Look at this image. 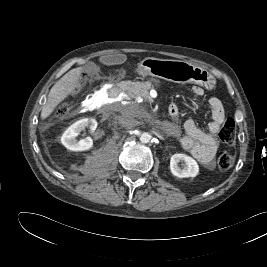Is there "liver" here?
Instances as JSON below:
<instances>
[{"label":"liver","instance_id":"6515ba94","mask_svg":"<svg viewBox=\"0 0 267 267\" xmlns=\"http://www.w3.org/2000/svg\"><path fill=\"white\" fill-rule=\"evenodd\" d=\"M83 67H77L68 71L60 78L51 88L48 99L41 111V119L45 120L51 115L55 108L65 100L69 95L73 94L76 89L81 86Z\"/></svg>","mask_w":267,"mask_h":267}]
</instances>
